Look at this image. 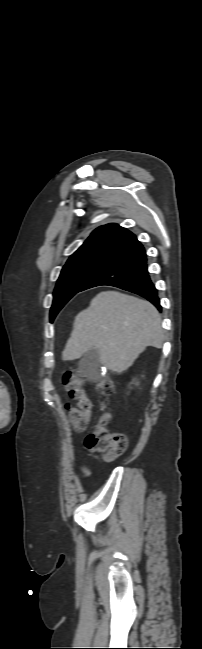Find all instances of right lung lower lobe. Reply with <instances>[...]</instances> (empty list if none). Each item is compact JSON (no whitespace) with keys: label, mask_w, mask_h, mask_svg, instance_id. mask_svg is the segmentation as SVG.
Here are the masks:
<instances>
[{"label":"right lung lower lobe","mask_w":202,"mask_h":649,"mask_svg":"<svg viewBox=\"0 0 202 649\" xmlns=\"http://www.w3.org/2000/svg\"><path fill=\"white\" fill-rule=\"evenodd\" d=\"M100 285L115 286L136 293L161 310L158 292L150 279L146 252L141 243L111 258L80 291Z\"/></svg>","instance_id":"right-lung-lower-lobe-1"}]
</instances>
